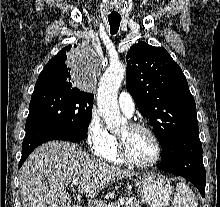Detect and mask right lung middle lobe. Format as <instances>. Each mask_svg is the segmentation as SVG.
<instances>
[{"mask_svg":"<svg viewBox=\"0 0 220 207\" xmlns=\"http://www.w3.org/2000/svg\"><path fill=\"white\" fill-rule=\"evenodd\" d=\"M94 95L84 91L34 89L26 132L33 129L59 128L87 132L92 117Z\"/></svg>","mask_w":220,"mask_h":207,"instance_id":"right-lung-middle-lobe-1","label":"right lung middle lobe"}]
</instances>
